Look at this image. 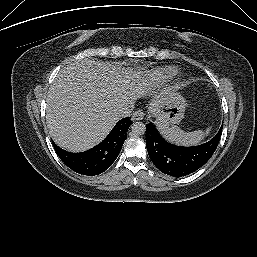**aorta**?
I'll list each match as a JSON object with an SVG mask.
<instances>
[{
  "label": "aorta",
  "instance_id": "obj_1",
  "mask_svg": "<svg viewBox=\"0 0 257 257\" xmlns=\"http://www.w3.org/2000/svg\"><path fill=\"white\" fill-rule=\"evenodd\" d=\"M131 130L134 135H143L145 133L146 127L142 122H135L131 125Z\"/></svg>",
  "mask_w": 257,
  "mask_h": 257
}]
</instances>
